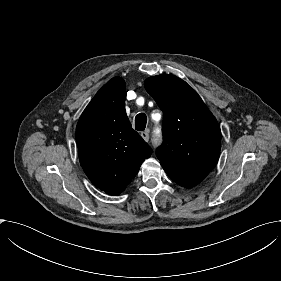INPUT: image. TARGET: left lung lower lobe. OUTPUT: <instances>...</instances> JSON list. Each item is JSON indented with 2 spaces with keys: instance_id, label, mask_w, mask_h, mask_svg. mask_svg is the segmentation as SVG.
I'll return each mask as SVG.
<instances>
[{
  "instance_id": "obj_1",
  "label": "left lung lower lobe",
  "mask_w": 281,
  "mask_h": 281,
  "mask_svg": "<svg viewBox=\"0 0 281 281\" xmlns=\"http://www.w3.org/2000/svg\"><path fill=\"white\" fill-rule=\"evenodd\" d=\"M162 167L175 183L186 188L197 185L207 176L205 173H187L164 165Z\"/></svg>"
}]
</instances>
